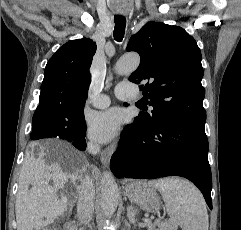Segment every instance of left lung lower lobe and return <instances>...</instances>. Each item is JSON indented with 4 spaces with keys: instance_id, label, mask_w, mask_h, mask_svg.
Wrapping results in <instances>:
<instances>
[{
    "instance_id": "1",
    "label": "left lung lower lobe",
    "mask_w": 241,
    "mask_h": 230,
    "mask_svg": "<svg viewBox=\"0 0 241 230\" xmlns=\"http://www.w3.org/2000/svg\"><path fill=\"white\" fill-rule=\"evenodd\" d=\"M110 168L118 178L181 176L192 181L212 209V176L204 124L164 119L155 128L136 118L121 135Z\"/></svg>"
}]
</instances>
